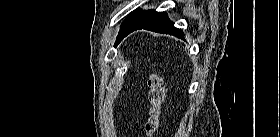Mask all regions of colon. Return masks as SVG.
Masks as SVG:
<instances>
[{
	"label": "colon",
	"instance_id": "obj_1",
	"mask_svg": "<svg viewBox=\"0 0 280 137\" xmlns=\"http://www.w3.org/2000/svg\"><path fill=\"white\" fill-rule=\"evenodd\" d=\"M148 117L144 123L146 137H153L160 125L161 105L165 97L162 76L152 72L148 76Z\"/></svg>",
	"mask_w": 280,
	"mask_h": 137
}]
</instances>
